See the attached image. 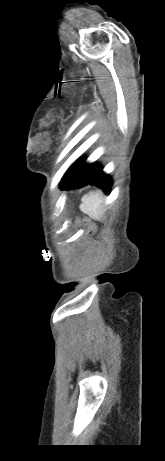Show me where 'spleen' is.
Wrapping results in <instances>:
<instances>
[{"instance_id": "3e777b00", "label": "spleen", "mask_w": 165, "mask_h": 461, "mask_svg": "<svg viewBox=\"0 0 165 461\" xmlns=\"http://www.w3.org/2000/svg\"><path fill=\"white\" fill-rule=\"evenodd\" d=\"M104 196L101 191L89 192L82 197L80 210L94 220L104 219Z\"/></svg>"}]
</instances>
